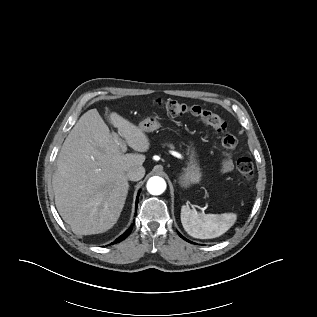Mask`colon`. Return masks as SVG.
Returning a JSON list of instances; mask_svg holds the SVG:
<instances>
[{"instance_id":"5ec220e1","label":"colon","mask_w":317,"mask_h":317,"mask_svg":"<svg viewBox=\"0 0 317 317\" xmlns=\"http://www.w3.org/2000/svg\"><path fill=\"white\" fill-rule=\"evenodd\" d=\"M158 104L163 106L167 114L171 117L188 114L208 125L216 132L221 133V148L224 152H228L236 147L237 138L227 131V124L219 115L200 106H189L175 100H159ZM236 168L245 181H250L252 179L254 175V165L249 158H239L236 162Z\"/></svg>"}]
</instances>
